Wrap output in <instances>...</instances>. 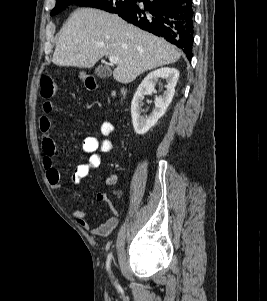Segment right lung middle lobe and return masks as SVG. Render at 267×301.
Returning a JSON list of instances; mask_svg holds the SVG:
<instances>
[{
    "label": "right lung middle lobe",
    "instance_id": "obj_1",
    "mask_svg": "<svg viewBox=\"0 0 267 301\" xmlns=\"http://www.w3.org/2000/svg\"><path fill=\"white\" fill-rule=\"evenodd\" d=\"M137 0H56V6L51 15H56L67 6L76 4L78 6L102 9L110 13H123L132 8Z\"/></svg>",
    "mask_w": 267,
    "mask_h": 301
}]
</instances>
